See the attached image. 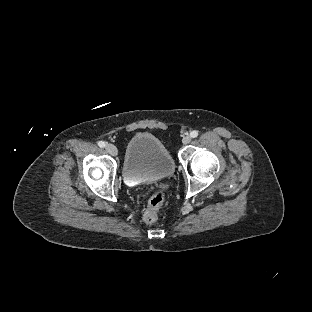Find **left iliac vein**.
<instances>
[{
  "instance_id": "1",
  "label": "left iliac vein",
  "mask_w": 312,
  "mask_h": 312,
  "mask_svg": "<svg viewBox=\"0 0 312 312\" xmlns=\"http://www.w3.org/2000/svg\"><path fill=\"white\" fill-rule=\"evenodd\" d=\"M191 141V137L189 135L183 137L182 142L183 144H188Z\"/></svg>"
}]
</instances>
